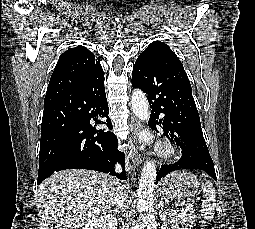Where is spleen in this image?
Masks as SVG:
<instances>
[{
	"instance_id": "1",
	"label": "spleen",
	"mask_w": 255,
	"mask_h": 229,
	"mask_svg": "<svg viewBox=\"0 0 255 229\" xmlns=\"http://www.w3.org/2000/svg\"><path fill=\"white\" fill-rule=\"evenodd\" d=\"M216 192L213 184L206 181L203 185V201L201 208V216L206 220H211L215 214Z\"/></svg>"
}]
</instances>
